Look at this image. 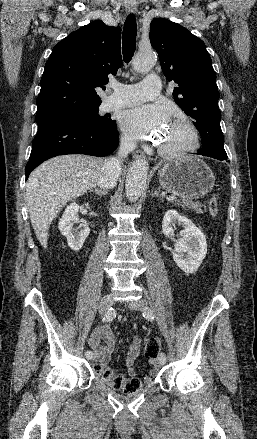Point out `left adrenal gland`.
<instances>
[{
  "label": "left adrenal gland",
  "instance_id": "a2214340",
  "mask_svg": "<svg viewBox=\"0 0 257 439\" xmlns=\"http://www.w3.org/2000/svg\"><path fill=\"white\" fill-rule=\"evenodd\" d=\"M153 196H156V197H161V198H163L161 195H160V187L152 194Z\"/></svg>",
  "mask_w": 257,
  "mask_h": 439
}]
</instances>
